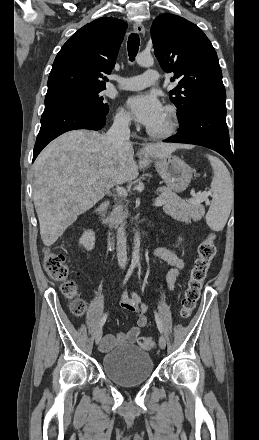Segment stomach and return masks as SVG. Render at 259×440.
Segmentation results:
<instances>
[{"mask_svg":"<svg viewBox=\"0 0 259 440\" xmlns=\"http://www.w3.org/2000/svg\"><path fill=\"white\" fill-rule=\"evenodd\" d=\"M154 164L170 190L180 193L189 186L192 179V169L179 157L169 155L156 160Z\"/></svg>","mask_w":259,"mask_h":440,"instance_id":"1","label":"stomach"}]
</instances>
